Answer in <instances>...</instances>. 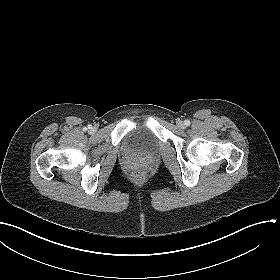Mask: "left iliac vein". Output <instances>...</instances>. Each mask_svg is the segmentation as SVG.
I'll return each mask as SVG.
<instances>
[{"instance_id":"left-iliac-vein-1","label":"left iliac vein","mask_w":280,"mask_h":280,"mask_svg":"<svg viewBox=\"0 0 280 280\" xmlns=\"http://www.w3.org/2000/svg\"><path fill=\"white\" fill-rule=\"evenodd\" d=\"M177 126H178L179 128H183V127H184V123H183L182 121H178V122H177Z\"/></svg>"}]
</instances>
